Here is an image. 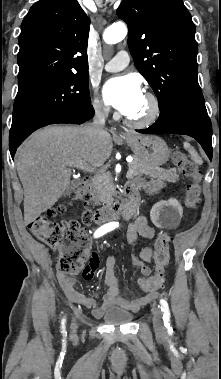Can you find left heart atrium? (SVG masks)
I'll return each instance as SVG.
<instances>
[{
  "label": "left heart atrium",
  "mask_w": 221,
  "mask_h": 379,
  "mask_svg": "<svg viewBox=\"0 0 221 379\" xmlns=\"http://www.w3.org/2000/svg\"><path fill=\"white\" fill-rule=\"evenodd\" d=\"M105 101L123 115L129 116L140 105L144 95L140 82L134 76L115 77L103 87Z\"/></svg>",
  "instance_id": "39dd6f15"
}]
</instances>
